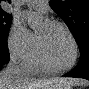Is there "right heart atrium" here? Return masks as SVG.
<instances>
[{
  "mask_svg": "<svg viewBox=\"0 0 89 89\" xmlns=\"http://www.w3.org/2000/svg\"><path fill=\"white\" fill-rule=\"evenodd\" d=\"M8 51L12 57L24 61L35 50V39L19 19H14L7 39Z\"/></svg>",
  "mask_w": 89,
  "mask_h": 89,
  "instance_id": "d8ad5b80",
  "label": "right heart atrium"
}]
</instances>
